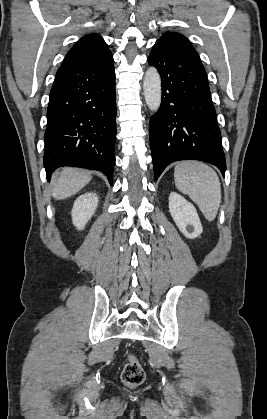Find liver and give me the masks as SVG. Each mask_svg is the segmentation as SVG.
<instances>
[{"mask_svg":"<svg viewBox=\"0 0 267 419\" xmlns=\"http://www.w3.org/2000/svg\"><path fill=\"white\" fill-rule=\"evenodd\" d=\"M91 180V175L77 168H63L53 177V192L55 199L61 200L79 192Z\"/></svg>","mask_w":267,"mask_h":419,"instance_id":"1","label":"liver"}]
</instances>
